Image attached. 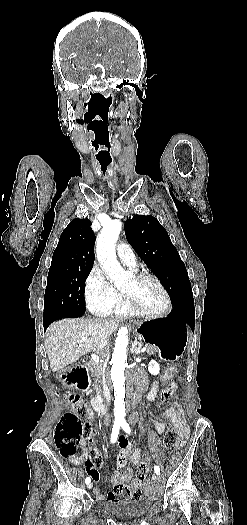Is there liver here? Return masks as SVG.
I'll list each match as a JSON object with an SVG mask.
<instances>
[{
  "mask_svg": "<svg viewBox=\"0 0 247 525\" xmlns=\"http://www.w3.org/2000/svg\"><path fill=\"white\" fill-rule=\"evenodd\" d=\"M119 323L114 319H61L51 323L44 341L51 371H62L91 351H104Z\"/></svg>",
  "mask_w": 247,
  "mask_h": 525,
  "instance_id": "1",
  "label": "liver"
}]
</instances>
